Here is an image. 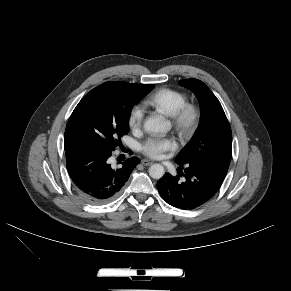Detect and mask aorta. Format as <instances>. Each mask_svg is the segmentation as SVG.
<instances>
[{"label": "aorta", "instance_id": "1", "mask_svg": "<svg viewBox=\"0 0 291 291\" xmlns=\"http://www.w3.org/2000/svg\"><path fill=\"white\" fill-rule=\"evenodd\" d=\"M144 130L150 133H167L170 130V123L162 116H153L144 123ZM165 169L161 164H153L149 168V175L153 179H161Z\"/></svg>", "mask_w": 291, "mask_h": 291}]
</instances>
